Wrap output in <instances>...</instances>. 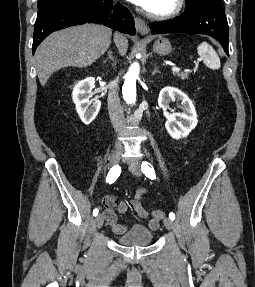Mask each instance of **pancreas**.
Here are the masks:
<instances>
[{
  "instance_id": "cf45deb5",
  "label": "pancreas",
  "mask_w": 255,
  "mask_h": 287,
  "mask_svg": "<svg viewBox=\"0 0 255 287\" xmlns=\"http://www.w3.org/2000/svg\"><path fill=\"white\" fill-rule=\"evenodd\" d=\"M177 76H180L181 80H186V78H188V74H185V72H181V74H179V72H176Z\"/></svg>"
}]
</instances>
